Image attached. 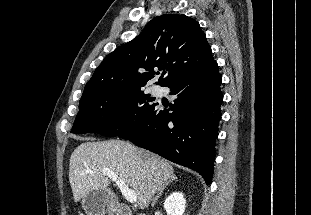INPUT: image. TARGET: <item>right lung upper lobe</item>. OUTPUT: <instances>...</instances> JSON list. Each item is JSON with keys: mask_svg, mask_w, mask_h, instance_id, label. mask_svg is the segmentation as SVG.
<instances>
[{"mask_svg": "<svg viewBox=\"0 0 311 215\" xmlns=\"http://www.w3.org/2000/svg\"><path fill=\"white\" fill-rule=\"evenodd\" d=\"M213 60L206 35L196 20L164 14L148 22L135 39L106 56L86 84L80 101L142 89L154 77L156 68L164 70L158 84L166 86Z\"/></svg>", "mask_w": 311, "mask_h": 215, "instance_id": "right-lung-upper-lobe-1", "label": "right lung upper lobe"}]
</instances>
